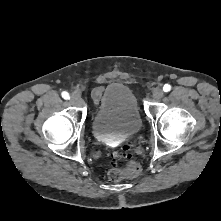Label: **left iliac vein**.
Here are the masks:
<instances>
[{"mask_svg":"<svg viewBox=\"0 0 221 221\" xmlns=\"http://www.w3.org/2000/svg\"><path fill=\"white\" fill-rule=\"evenodd\" d=\"M164 93L161 88H155L152 91V98L154 100H160L163 97Z\"/></svg>","mask_w":221,"mask_h":221,"instance_id":"1","label":"left iliac vein"}]
</instances>
